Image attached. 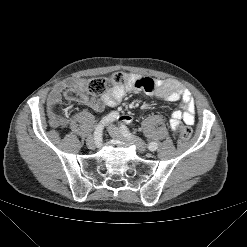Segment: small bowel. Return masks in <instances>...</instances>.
Returning a JSON list of instances; mask_svg holds the SVG:
<instances>
[{
    "label": "small bowel",
    "instance_id": "obj_1",
    "mask_svg": "<svg viewBox=\"0 0 247 247\" xmlns=\"http://www.w3.org/2000/svg\"><path fill=\"white\" fill-rule=\"evenodd\" d=\"M140 85L113 86L100 98L95 99L87 94L77 100L78 102L91 107L94 110L102 111L105 108L117 105L125 95L131 91L144 92L150 96L170 102L181 101V109L174 110L171 114L170 127L176 130L182 123L193 125L195 121V101L192 94L180 84L172 80H154L149 77H134ZM83 80H69L54 87L47 98V115L51 126L58 127L68 123V119L58 112V105L61 102L62 93L66 89L81 87ZM130 116H124L121 121L131 122Z\"/></svg>",
    "mask_w": 247,
    "mask_h": 247
}]
</instances>
